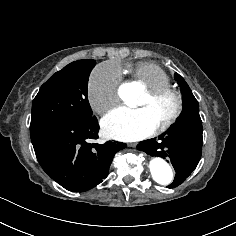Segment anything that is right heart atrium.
Returning <instances> with one entry per match:
<instances>
[{
  "instance_id": "d8ad5b80",
  "label": "right heart atrium",
  "mask_w": 236,
  "mask_h": 236,
  "mask_svg": "<svg viewBox=\"0 0 236 236\" xmlns=\"http://www.w3.org/2000/svg\"><path fill=\"white\" fill-rule=\"evenodd\" d=\"M120 82L119 71L108 64H101L91 72L88 80V99L95 113L104 114L117 103Z\"/></svg>"
}]
</instances>
